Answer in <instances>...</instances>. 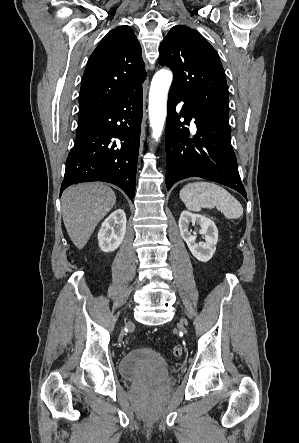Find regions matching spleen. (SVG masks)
<instances>
[{
    "instance_id": "1",
    "label": "spleen",
    "mask_w": 299,
    "mask_h": 443,
    "mask_svg": "<svg viewBox=\"0 0 299 443\" xmlns=\"http://www.w3.org/2000/svg\"><path fill=\"white\" fill-rule=\"evenodd\" d=\"M179 195L186 208L193 212H199L201 208L216 207L229 219L239 218L243 214L240 202L226 189L214 183H189L181 189Z\"/></svg>"
}]
</instances>
